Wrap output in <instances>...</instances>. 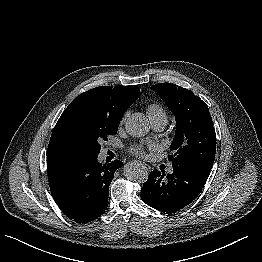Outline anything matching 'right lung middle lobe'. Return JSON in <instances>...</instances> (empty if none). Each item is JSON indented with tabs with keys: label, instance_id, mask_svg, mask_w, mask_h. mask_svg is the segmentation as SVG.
Segmentation results:
<instances>
[{
	"label": "right lung middle lobe",
	"instance_id": "dd1d6c3e",
	"mask_svg": "<svg viewBox=\"0 0 262 262\" xmlns=\"http://www.w3.org/2000/svg\"><path fill=\"white\" fill-rule=\"evenodd\" d=\"M118 121L83 107L63 112L51 135L47 156H96L100 143L115 135Z\"/></svg>",
	"mask_w": 262,
	"mask_h": 262
}]
</instances>
